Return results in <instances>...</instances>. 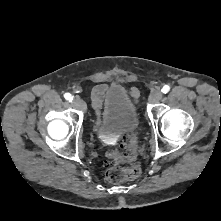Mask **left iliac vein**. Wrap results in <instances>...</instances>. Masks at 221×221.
Here are the masks:
<instances>
[{
	"label": "left iliac vein",
	"instance_id": "obj_1",
	"mask_svg": "<svg viewBox=\"0 0 221 221\" xmlns=\"http://www.w3.org/2000/svg\"><path fill=\"white\" fill-rule=\"evenodd\" d=\"M162 98V92L160 89H155L151 92L150 96H149V102L150 103H156L158 101H160Z\"/></svg>",
	"mask_w": 221,
	"mask_h": 221
}]
</instances>
